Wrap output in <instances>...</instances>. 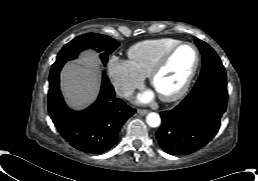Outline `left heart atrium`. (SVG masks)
Here are the masks:
<instances>
[{
    "label": "left heart atrium",
    "mask_w": 258,
    "mask_h": 181,
    "mask_svg": "<svg viewBox=\"0 0 258 181\" xmlns=\"http://www.w3.org/2000/svg\"><path fill=\"white\" fill-rule=\"evenodd\" d=\"M153 97V93L151 91H148L142 95L139 96V101L140 102H148L149 100H151Z\"/></svg>",
    "instance_id": "1"
}]
</instances>
